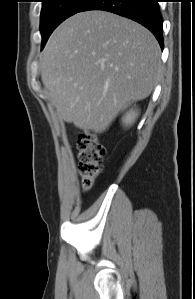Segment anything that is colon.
Here are the masks:
<instances>
[{
  "label": "colon",
  "mask_w": 195,
  "mask_h": 299,
  "mask_svg": "<svg viewBox=\"0 0 195 299\" xmlns=\"http://www.w3.org/2000/svg\"><path fill=\"white\" fill-rule=\"evenodd\" d=\"M106 148L93 132H84L77 139L78 172L84 190H89L102 173Z\"/></svg>",
  "instance_id": "5ec220e1"
}]
</instances>
